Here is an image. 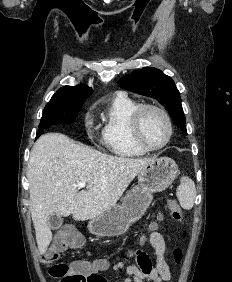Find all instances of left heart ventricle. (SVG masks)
<instances>
[{
    "label": "left heart ventricle",
    "mask_w": 232,
    "mask_h": 282,
    "mask_svg": "<svg viewBox=\"0 0 232 282\" xmlns=\"http://www.w3.org/2000/svg\"><path fill=\"white\" fill-rule=\"evenodd\" d=\"M141 133L148 144L152 146L160 145L167 138V124L159 113L152 110L147 111L142 117Z\"/></svg>",
    "instance_id": "obj_1"
}]
</instances>
